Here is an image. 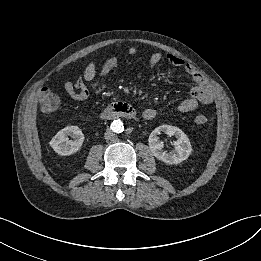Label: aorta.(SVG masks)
I'll list each match as a JSON object with an SVG mask.
<instances>
[{
  "label": "aorta",
  "mask_w": 261,
  "mask_h": 261,
  "mask_svg": "<svg viewBox=\"0 0 261 261\" xmlns=\"http://www.w3.org/2000/svg\"><path fill=\"white\" fill-rule=\"evenodd\" d=\"M111 129L116 133H121L124 130L123 122L118 119L111 123Z\"/></svg>",
  "instance_id": "1"
}]
</instances>
